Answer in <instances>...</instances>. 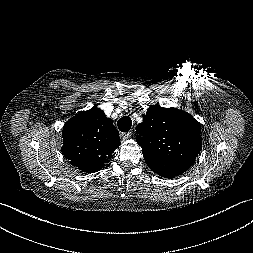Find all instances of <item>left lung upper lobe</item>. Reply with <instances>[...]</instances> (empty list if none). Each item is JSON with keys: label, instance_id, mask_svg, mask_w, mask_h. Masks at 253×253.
<instances>
[{"label": "left lung upper lobe", "instance_id": "1", "mask_svg": "<svg viewBox=\"0 0 253 253\" xmlns=\"http://www.w3.org/2000/svg\"><path fill=\"white\" fill-rule=\"evenodd\" d=\"M136 132L148 167L169 179L187 171L202 148L200 124L176 108L150 106Z\"/></svg>", "mask_w": 253, "mask_h": 253}]
</instances>
